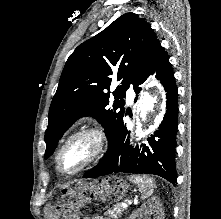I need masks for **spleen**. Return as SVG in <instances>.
Masks as SVG:
<instances>
[{"label": "spleen", "mask_w": 221, "mask_h": 219, "mask_svg": "<svg viewBox=\"0 0 221 219\" xmlns=\"http://www.w3.org/2000/svg\"><path fill=\"white\" fill-rule=\"evenodd\" d=\"M130 180L138 186L143 199H146L153 194L155 184L151 178L147 176H133Z\"/></svg>", "instance_id": "spleen-1"}]
</instances>
